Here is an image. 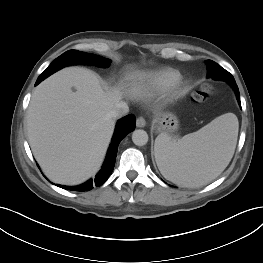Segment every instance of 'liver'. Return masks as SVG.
<instances>
[{
    "label": "liver",
    "instance_id": "obj_1",
    "mask_svg": "<svg viewBox=\"0 0 263 263\" xmlns=\"http://www.w3.org/2000/svg\"><path fill=\"white\" fill-rule=\"evenodd\" d=\"M122 95L104 91L97 75L80 67L62 69L37 86L26 116L28 141L51 181L76 185L97 173L115 128L110 113Z\"/></svg>",
    "mask_w": 263,
    "mask_h": 263
}]
</instances>
